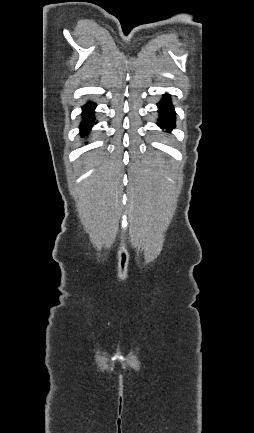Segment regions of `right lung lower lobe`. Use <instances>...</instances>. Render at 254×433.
Masks as SVG:
<instances>
[{
    "instance_id": "1",
    "label": "right lung lower lobe",
    "mask_w": 254,
    "mask_h": 433,
    "mask_svg": "<svg viewBox=\"0 0 254 433\" xmlns=\"http://www.w3.org/2000/svg\"><path fill=\"white\" fill-rule=\"evenodd\" d=\"M95 104L89 103L86 106L83 107V122L80 125V131L81 134L86 133L89 131L94 124L93 120V109L95 108Z\"/></svg>"
}]
</instances>
